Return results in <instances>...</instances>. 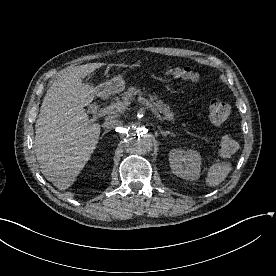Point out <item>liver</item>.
Segmentation results:
<instances>
[{"mask_svg":"<svg viewBox=\"0 0 276 276\" xmlns=\"http://www.w3.org/2000/svg\"><path fill=\"white\" fill-rule=\"evenodd\" d=\"M104 63L71 67L47 90L35 124V154L45 178L59 190L71 187L94 152L100 125L84 107L97 95L82 79Z\"/></svg>","mask_w":276,"mask_h":276,"instance_id":"6515ba94","label":"liver"}]
</instances>
